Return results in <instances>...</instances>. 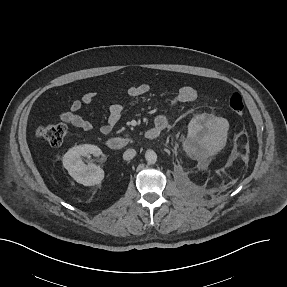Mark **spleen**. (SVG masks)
I'll list each match as a JSON object with an SVG mask.
<instances>
[{"mask_svg": "<svg viewBox=\"0 0 287 287\" xmlns=\"http://www.w3.org/2000/svg\"><path fill=\"white\" fill-rule=\"evenodd\" d=\"M223 140V139H222ZM221 144V142H215V143H213V146H218V145H220Z\"/></svg>", "mask_w": 287, "mask_h": 287, "instance_id": "spleen-1", "label": "spleen"}]
</instances>
